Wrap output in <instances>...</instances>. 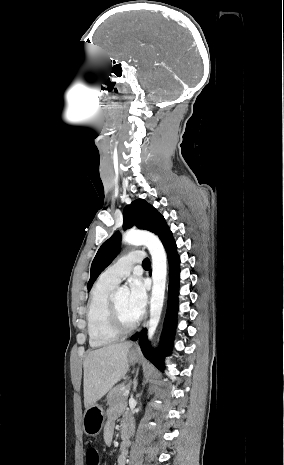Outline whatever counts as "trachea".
Wrapping results in <instances>:
<instances>
[{
  "label": "trachea",
  "instance_id": "3493384b",
  "mask_svg": "<svg viewBox=\"0 0 284 465\" xmlns=\"http://www.w3.org/2000/svg\"><path fill=\"white\" fill-rule=\"evenodd\" d=\"M144 268H150V260L148 258H145L142 263Z\"/></svg>",
  "mask_w": 284,
  "mask_h": 465
}]
</instances>
